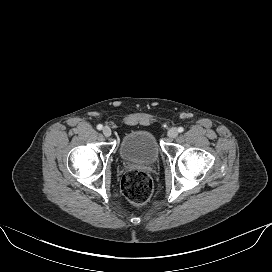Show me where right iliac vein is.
<instances>
[{"label":"right iliac vein","instance_id":"right-iliac-vein-1","mask_svg":"<svg viewBox=\"0 0 272 272\" xmlns=\"http://www.w3.org/2000/svg\"><path fill=\"white\" fill-rule=\"evenodd\" d=\"M102 132H103L104 136H106V137L111 136V129L109 127H107V126H105L103 128Z\"/></svg>","mask_w":272,"mask_h":272}]
</instances>
